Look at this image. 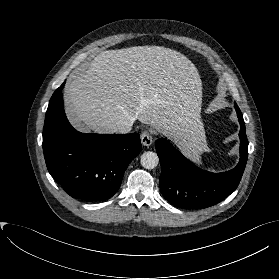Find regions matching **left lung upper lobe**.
<instances>
[{
    "instance_id": "left-lung-upper-lobe-1",
    "label": "left lung upper lobe",
    "mask_w": 279,
    "mask_h": 279,
    "mask_svg": "<svg viewBox=\"0 0 279 279\" xmlns=\"http://www.w3.org/2000/svg\"><path fill=\"white\" fill-rule=\"evenodd\" d=\"M234 106H235V109H236V111H237V114H242L241 111H240V109H239V107L237 106V104H235Z\"/></svg>"
}]
</instances>
